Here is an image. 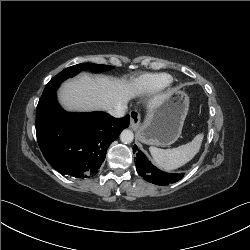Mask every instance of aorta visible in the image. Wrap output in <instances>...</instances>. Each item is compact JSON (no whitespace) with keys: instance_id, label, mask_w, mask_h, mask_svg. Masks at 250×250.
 Instances as JSON below:
<instances>
[{"instance_id":"aorta-1","label":"aorta","mask_w":250,"mask_h":250,"mask_svg":"<svg viewBox=\"0 0 250 250\" xmlns=\"http://www.w3.org/2000/svg\"><path fill=\"white\" fill-rule=\"evenodd\" d=\"M134 135L133 132L129 129H125L120 134V140L124 144H129L133 141Z\"/></svg>"}]
</instances>
